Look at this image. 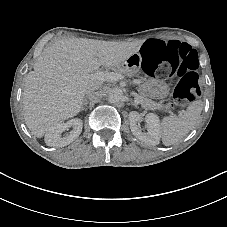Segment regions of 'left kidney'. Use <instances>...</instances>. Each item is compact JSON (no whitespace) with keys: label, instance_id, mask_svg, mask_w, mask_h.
I'll use <instances>...</instances> for the list:
<instances>
[{"label":"left kidney","instance_id":"obj_1","mask_svg":"<svg viewBox=\"0 0 227 227\" xmlns=\"http://www.w3.org/2000/svg\"><path fill=\"white\" fill-rule=\"evenodd\" d=\"M139 114L137 112H131L130 128L132 133L141 141L147 145H158L161 139L162 127L159 115L150 112L146 115L145 121L147 124L148 132H143L137 122L139 121Z\"/></svg>","mask_w":227,"mask_h":227}]
</instances>
